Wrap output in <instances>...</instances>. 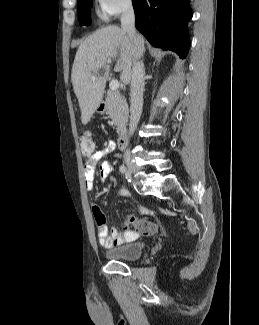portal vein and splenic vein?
Wrapping results in <instances>:
<instances>
[{
    "instance_id": "portal-vein-and-splenic-vein-1",
    "label": "portal vein and splenic vein",
    "mask_w": 259,
    "mask_h": 325,
    "mask_svg": "<svg viewBox=\"0 0 259 325\" xmlns=\"http://www.w3.org/2000/svg\"><path fill=\"white\" fill-rule=\"evenodd\" d=\"M111 61L109 60L108 63H110ZM96 79V76H92V80L94 81ZM119 87V82L116 79H112L109 83V88L112 91H116Z\"/></svg>"
}]
</instances>
